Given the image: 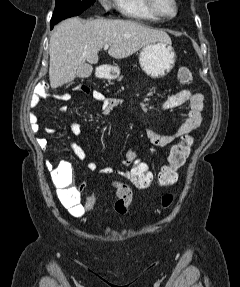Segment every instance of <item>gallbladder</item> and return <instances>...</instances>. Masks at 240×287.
<instances>
[{
  "label": "gallbladder",
  "instance_id": "gallbladder-1",
  "mask_svg": "<svg viewBox=\"0 0 240 287\" xmlns=\"http://www.w3.org/2000/svg\"><path fill=\"white\" fill-rule=\"evenodd\" d=\"M92 66L89 64H83L78 70H77V77L79 78H88L92 73Z\"/></svg>",
  "mask_w": 240,
  "mask_h": 287
}]
</instances>
